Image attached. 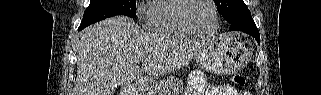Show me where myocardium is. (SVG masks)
<instances>
[{"label":"myocardium","mask_w":321,"mask_h":95,"mask_svg":"<svg viewBox=\"0 0 321 95\" xmlns=\"http://www.w3.org/2000/svg\"><path fill=\"white\" fill-rule=\"evenodd\" d=\"M193 1L195 0H183V3L177 10V20L195 36L208 37L213 35L214 33H216L219 27V14L215 1L208 0V2L211 4L213 8L215 24L213 29L206 33L200 32L198 29H196L188 19L187 12Z\"/></svg>","instance_id":"1"}]
</instances>
